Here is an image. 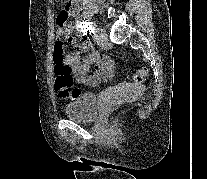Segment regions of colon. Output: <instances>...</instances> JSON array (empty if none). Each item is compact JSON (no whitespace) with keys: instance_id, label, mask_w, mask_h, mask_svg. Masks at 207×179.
<instances>
[{"instance_id":"1","label":"colon","mask_w":207,"mask_h":179,"mask_svg":"<svg viewBox=\"0 0 207 179\" xmlns=\"http://www.w3.org/2000/svg\"><path fill=\"white\" fill-rule=\"evenodd\" d=\"M63 3L64 0H59ZM54 71H55V87L59 92V96L65 99H73L81 94V90L73 86V77L71 67L66 62L64 44L60 38H57L54 45ZM148 76V68L140 67L133 75L135 82L144 81Z\"/></svg>"}]
</instances>
